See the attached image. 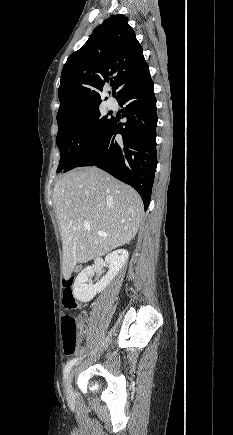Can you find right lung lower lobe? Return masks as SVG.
Segmentation results:
<instances>
[{"mask_svg": "<svg viewBox=\"0 0 233 435\" xmlns=\"http://www.w3.org/2000/svg\"><path fill=\"white\" fill-rule=\"evenodd\" d=\"M117 100L126 105L127 122L118 124L113 119L105 136L77 167L97 166L132 186L147 210L157 166L156 98L150 73L128 85ZM116 134L122 135V143L115 140Z\"/></svg>", "mask_w": 233, "mask_h": 435, "instance_id": "right-lung-lower-lobe-1", "label": "right lung lower lobe"}]
</instances>
